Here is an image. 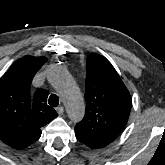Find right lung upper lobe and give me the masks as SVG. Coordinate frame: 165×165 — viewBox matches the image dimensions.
<instances>
[{
    "label": "right lung upper lobe",
    "instance_id": "right-lung-upper-lobe-1",
    "mask_svg": "<svg viewBox=\"0 0 165 165\" xmlns=\"http://www.w3.org/2000/svg\"><path fill=\"white\" fill-rule=\"evenodd\" d=\"M46 61V57L24 56L0 79V139L14 148L22 149L38 140L40 128L57 117L46 104L45 89L30 92L34 75Z\"/></svg>",
    "mask_w": 165,
    "mask_h": 165
}]
</instances>
